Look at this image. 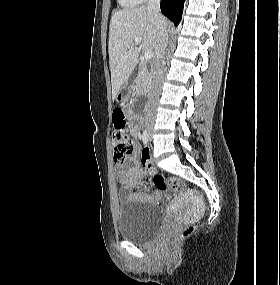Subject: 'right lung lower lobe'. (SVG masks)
Returning <instances> with one entry per match:
<instances>
[{
  "label": "right lung lower lobe",
  "mask_w": 280,
  "mask_h": 285,
  "mask_svg": "<svg viewBox=\"0 0 280 285\" xmlns=\"http://www.w3.org/2000/svg\"><path fill=\"white\" fill-rule=\"evenodd\" d=\"M184 0H161V12L178 26L183 12Z\"/></svg>",
  "instance_id": "98d812e1"
}]
</instances>
